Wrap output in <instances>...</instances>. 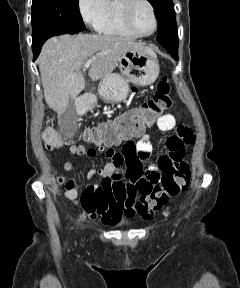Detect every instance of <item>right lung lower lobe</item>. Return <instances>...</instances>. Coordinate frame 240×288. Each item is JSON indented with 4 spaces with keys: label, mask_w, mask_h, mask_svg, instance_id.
<instances>
[{
    "label": "right lung lower lobe",
    "mask_w": 240,
    "mask_h": 288,
    "mask_svg": "<svg viewBox=\"0 0 240 288\" xmlns=\"http://www.w3.org/2000/svg\"><path fill=\"white\" fill-rule=\"evenodd\" d=\"M77 32H80V30H73V29H58V30H54L51 31L49 33H47L36 45H32V50H33V60H35L42 48V45L44 44V42L52 37V36H57L60 34H65V33H69V34H75Z\"/></svg>",
    "instance_id": "98d812e1"
}]
</instances>
